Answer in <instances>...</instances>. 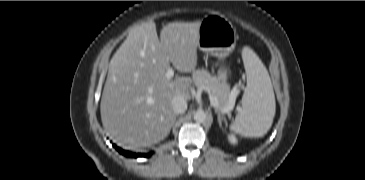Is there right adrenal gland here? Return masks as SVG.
<instances>
[{
	"mask_svg": "<svg viewBox=\"0 0 365 180\" xmlns=\"http://www.w3.org/2000/svg\"><path fill=\"white\" fill-rule=\"evenodd\" d=\"M177 117H178V115H176V116H175V119H174L173 125H174V123H175V121H176V118H177ZM173 125H172V126H173Z\"/></svg>",
	"mask_w": 365,
	"mask_h": 180,
	"instance_id": "2a0ac1e0",
	"label": "right adrenal gland"
}]
</instances>
